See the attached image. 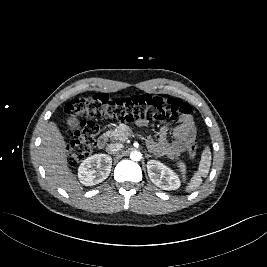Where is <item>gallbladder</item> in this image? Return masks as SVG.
<instances>
[{"label": "gallbladder", "instance_id": "1", "mask_svg": "<svg viewBox=\"0 0 267 267\" xmlns=\"http://www.w3.org/2000/svg\"><path fill=\"white\" fill-rule=\"evenodd\" d=\"M67 125H68L71 129L77 128L78 125H79V120H78L75 116L69 117V118L67 119Z\"/></svg>", "mask_w": 267, "mask_h": 267}]
</instances>
